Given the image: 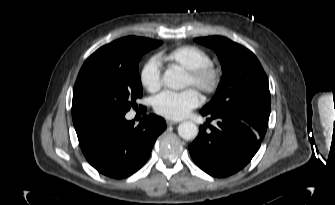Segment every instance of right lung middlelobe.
<instances>
[{
  "mask_svg": "<svg viewBox=\"0 0 335 205\" xmlns=\"http://www.w3.org/2000/svg\"><path fill=\"white\" fill-rule=\"evenodd\" d=\"M161 41L129 36L98 49L82 66L73 89V123L115 117L135 107L142 97L138 72L144 53Z\"/></svg>",
  "mask_w": 335,
  "mask_h": 205,
  "instance_id": "right-lung-middle-lobe-1",
  "label": "right lung middle lobe"
}]
</instances>
